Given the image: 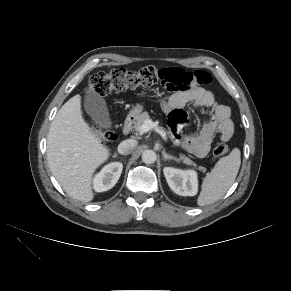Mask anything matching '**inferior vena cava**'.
Listing matches in <instances>:
<instances>
[{"label": "inferior vena cava", "instance_id": "1", "mask_svg": "<svg viewBox=\"0 0 291 291\" xmlns=\"http://www.w3.org/2000/svg\"><path fill=\"white\" fill-rule=\"evenodd\" d=\"M137 141L133 139H127L122 141L118 146V152L122 155L130 154L136 147Z\"/></svg>", "mask_w": 291, "mask_h": 291}]
</instances>
